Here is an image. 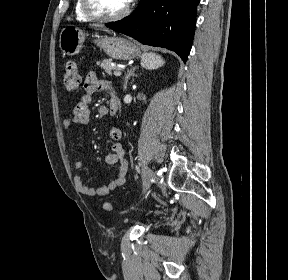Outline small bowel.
<instances>
[{
    "mask_svg": "<svg viewBox=\"0 0 288 280\" xmlns=\"http://www.w3.org/2000/svg\"><path fill=\"white\" fill-rule=\"evenodd\" d=\"M109 89V86L101 82L95 72H90L84 81V95L81 100L74 107L73 112L69 118L62 121L64 129L68 130L72 125H85L90 120V102L92 96L102 90ZM109 136L112 140L111 151L106 155L105 161L109 165H115L118 168V172L113 180L109 183L90 187L86 185L83 178L79 175L74 177L75 185L78 191L87 196H105L109 192L122 186L127 179L128 175V162L125 158V148L121 143L122 131L117 126H111L109 128ZM85 166V162L78 160L75 162L76 169H82Z\"/></svg>",
    "mask_w": 288,
    "mask_h": 280,
    "instance_id": "c3829d8e",
    "label": "small bowel"
}]
</instances>
